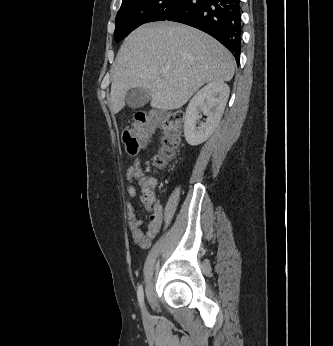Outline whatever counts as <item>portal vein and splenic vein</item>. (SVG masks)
Returning <instances> with one entry per match:
<instances>
[{"mask_svg":"<svg viewBox=\"0 0 333 346\" xmlns=\"http://www.w3.org/2000/svg\"><path fill=\"white\" fill-rule=\"evenodd\" d=\"M161 73H162L163 75H166V74L168 73V69H167V68H162V69H161Z\"/></svg>","mask_w":333,"mask_h":346,"instance_id":"1","label":"portal vein and splenic vein"}]
</instances>
